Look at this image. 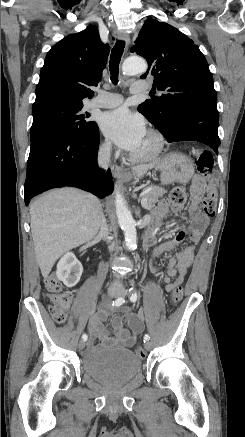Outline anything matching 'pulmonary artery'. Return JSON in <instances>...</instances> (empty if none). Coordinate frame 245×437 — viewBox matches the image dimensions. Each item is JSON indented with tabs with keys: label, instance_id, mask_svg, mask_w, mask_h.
Returning <instances> with one entry per match:
<instances>
[{
	"label": "pulmonary artery",
	"instance_id": "pulmonary-artery-1",
	"mask_svg": "<svg viewBox=\"0 0 245 437\" xmlns=\"http://www.w3.org/2000/svg\"><path fill=\"white\" fill-rule=\"evenodd\" d=\"M150 89V84L145 81H137L131 86V93H143ZM123 97L117 93H110L106 91H99L89 104L92 108H114L120 105Z\"/></svg>",
	"mask_w": 245,
	"mask_h": 437
}]
</instances>
